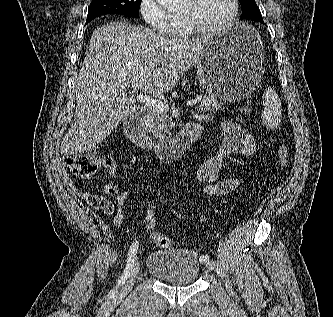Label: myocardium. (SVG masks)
I'll return each mask as SVG.
<instances>
[{"instance_id": "myocardium-1", "label": "myocardium", "mask_w": 333, "mask_h": 317, "mask_svg": "<svg viewBox=\"0 0 333 317\" xmlns=\"http://www.w3.org/2000/svg\"><path fill=\"white\" fill-rule=\"evenodd\" d=\"M192 1H195V0H192ZM231 3H232V11H231L230 15L222 23H220L218 25L208 26V27L202 26L188 12H180L179 16L183 20L186 27L192 33L199 34V35H209V34L218 33V32H221V31L227 29L228 27H230L238 16L239 8H240L239 1L231 0Z\"/></svg>"}]
</instances>
